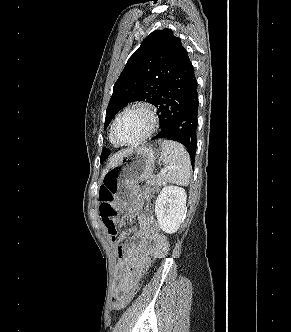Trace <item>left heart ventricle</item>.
<instances>
[{
    "instance_id": "left-heart-ventricle-1",
    "label": "left heart ventricle",
    "mask_w": 291,
    "mask_h": 332,
    "mask_svg": "<svg viewBox=\"0 0 291 332\" xmlns=\"http://www.w3.org/2000/svg\"><path fill=\"white\" fill-rule=\"evenodd\" d=\"M150 120L141 109L127 111L117 125V136L122 141H133L143 136L149 129Z\"/></svg>"
}]
</instances>
